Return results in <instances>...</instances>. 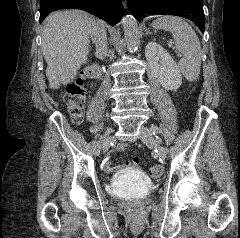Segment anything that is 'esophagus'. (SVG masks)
<instances>
[{
    "mask_svg": "<svg viewBox=\"0 0 240 238\" xmlns=\"http://www.w3.org/2000/svg\"><path fill=\"white\" fill-rule=\"evenodd\" d=\"M124 7L126 8V0H122Z\"/></svg>",
    "mask_w": 240,
    "mask_h": 238,
    "instance_id": "34e87169",
    "label": "esophagus"
}]
</instances>
